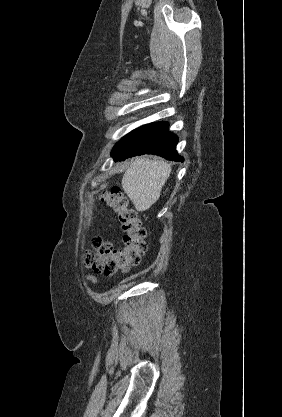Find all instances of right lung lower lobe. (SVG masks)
Segmentation results:
<instances>
[{"instance_id": "1", "label": "right lung lower lobe", "mask_w": 282, "mask_h": 417, "mask_svg": "<svg viewBox=\"0 0 282 417\" xmlns=\"http://www.w3.org/2000/svg\"><path fill=\"white\" fill-rule=\"evenodd\" d=\"M177 143V136L168 131V123L156 122L144 125L126 135L115 145L111 154L115 161L136 155L153 154L167 160L183 162V157L175 150Z\"/></svg>"}]
</instances>
